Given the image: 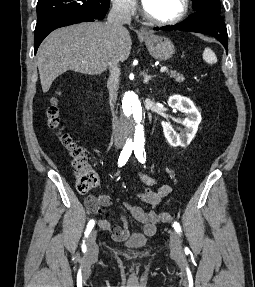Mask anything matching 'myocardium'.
<instances>
[{
    "instance_id": "obj_1",
    "label": "myocardium",
    "mask_w": 255,
    "mask_h": 287,
    "mask_svg": "<svg viewBox=\"0 0 255 287\" xmlns=\"http://www.w3.org/2000/svg\"><path fill=\"white\" fill-rule=\"evenodd\" d=\"M139 33H149V32H139ZM169 33H175V32H169ZM130 39H137V38H130ZM145 39H152V38H145ZM166 39H175V38H166ZM129 48H135V47H129ZM146 48H151V47H146Z\"/></svg>"
}]
</instances>
